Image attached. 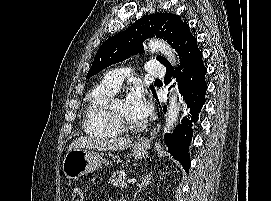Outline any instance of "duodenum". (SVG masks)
<instances>
[{
	"mask_svg": "<svg viewBox=\"0 0 271 201\" xmlns=\"http://www.w3.org/2000/svg\"><path fill=\"white\" fill-rule=\"evenodd\" d=\"M119 201H126L124 197H120Z\"/></svg>",
	"mask_w": 271,
	"mask_h": 201,
	"instance_id": "410a0bca",
	"label": "duodenum"
}]
</instances>
